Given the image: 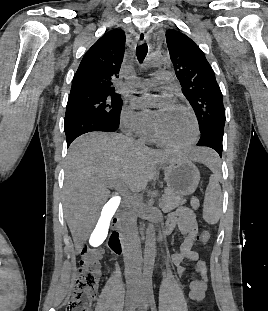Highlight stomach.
Returning a JSON list of instances; mask_svg holds the SVG:
<instances>
[{
	"instance_id": "0dacf381",
	"label": "stomach",
	"mask_w": 268,
	"mask_h": 311,
	"mask_svg": "<svg viewBox=\"0 0 268 311\" xmlns=\"http://www.w3.org/2000/svg\"><path fill=\"white\" fill-rule=\"evenodd\" d=\"M165 180L170 191L181 196L195 192L200 181V172L191 159L180 157L177 160L163 164Z\"/></svg>"
}]
</instances>
